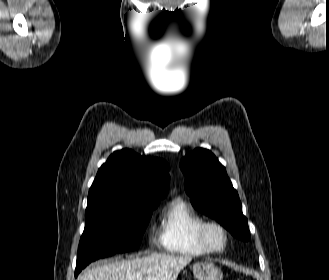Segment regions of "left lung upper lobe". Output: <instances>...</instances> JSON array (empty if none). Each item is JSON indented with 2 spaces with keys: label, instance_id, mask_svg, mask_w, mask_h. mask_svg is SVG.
<instances>
[{
  "label": "left lung upper lobe",
  "instance_id": "1",
  "mask_svg": "<svg viewBox=\"0 0 329 280\" xmlns=\"http://www.w3.org/2000/svg\"><path fill=\"white\" fill-rule=\"evenodd\" d=\"M180 167L192 206L215 218L236 238L248 241L250 232L237 191L224 166L206 149L197 148L182 158Z\"/></svg>",
  "mask_w": 329,
  "mask_h": 280
}]
</instances>
